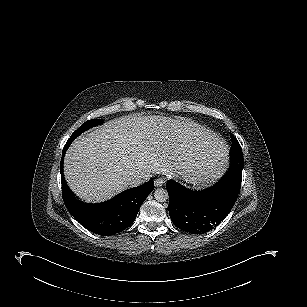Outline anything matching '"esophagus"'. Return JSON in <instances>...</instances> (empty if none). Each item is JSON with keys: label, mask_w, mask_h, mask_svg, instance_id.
I'll return each mask as SVG.
<instances>
[{"label": "esophagus", "mask_w": 307, "mask_h": 307, "mask_svg": "<svg viewBox=\"0 0 307 307\" xmlns=\"http://www.w3.org/2000/svg\"><path fill=\"white\" fill-rule=\"evenodd\" d=\"M165 183V178L160 177L155 180V187H161Z\"/></svg>", "instance_id": "obj_1"}]
</instances>
